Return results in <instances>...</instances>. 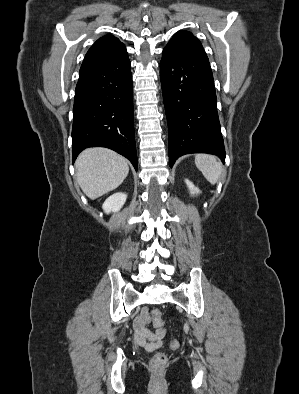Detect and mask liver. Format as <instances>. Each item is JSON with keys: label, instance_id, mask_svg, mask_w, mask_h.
Returning <instances> with one entry per match:
<instances>
[{"label": "liver", "instance_id": "obj_1", "mask_svg": "<svg viewBox=\"0 0 299 394\" xmlns=\"http://www.w3.org/2000/svg\"><path fill=\"white\" fill-rule=\"evenodd\" d=\"M77 182L92 200L116 189L129 173L127 160L101 147L83 151L76 160Z\"/></svg>", "mask_w": 299, "mask_h": 394}]
</instances>
